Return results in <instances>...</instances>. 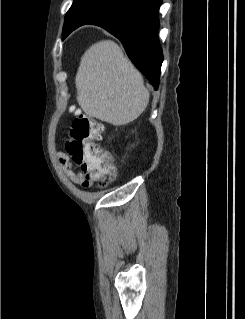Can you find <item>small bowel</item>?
Returning a JSON list of instances; mask_svg holds the SVG:
<instances>
[{
    "label": "small bowel",
    "instance_id": "small-bowel-1",
    "mask_svg": "<svg viewBox=\"0 0 245 319\" xmlns=\"http://www.w3.org/2000/svg\"><path fill=\"white\" fill-rule=\"evenodd\" d=\"M58 161L62 171L75 183H81L83 181L82 173L76 171L69 163L68 157L62 153H58Z\"/></svg>",
    "mask_w": 245,
    "mask_h": 319
}]
</instances>
